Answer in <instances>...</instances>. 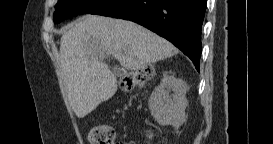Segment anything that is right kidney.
Listing matches in <instances>:
<instances>
[{
    "instance_id": "1",
    "label": "right kidney",
    "mask_w": 273,
    "mask_h": 144,
    "mask_svg": "<svg viewBox=\"0 0 273 144\" xmlns=\"http://www.w3.org/2000/svg\"><path fill=\"white\" fill-rule=\"evenodd\" d=\"M187 87L175 77H164L149 99V108L155 120L162 126L171 125L178 130L185 122ZM170 92H173L170 95Z\"/></svg>"
}]
</instances>
